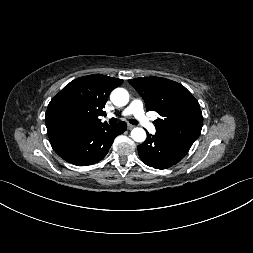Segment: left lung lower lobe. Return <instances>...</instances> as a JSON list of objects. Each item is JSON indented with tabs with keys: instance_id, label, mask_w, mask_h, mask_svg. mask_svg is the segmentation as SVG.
Instances as JSON below:
<instances>
[{
	"instance_id": "left-lung-lower-lobe-1",
	"label": "left lung lower lobe",
	"mask_w": 253,
	"mask_h": 253,
	"mask_svg": "<svg viewBox=\"0 0 253 253\" xmlns=\"http://www.w3.org/2000/svg\"><path fill=\"white\" fill-rule=\"evenodd\" d=\"M193 143L161 134L147 133L145 142L137 146L139 157L148 166L166 169L178 163Z\"/></svg>"
}]
</instances>
